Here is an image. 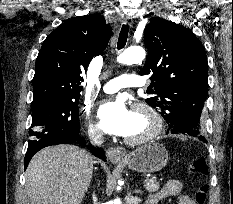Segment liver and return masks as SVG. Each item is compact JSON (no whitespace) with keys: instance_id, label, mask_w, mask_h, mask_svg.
Listing matches in <instances>:
<instances>
[{"instance_id":"obj_1","label":"liver","mask_w":233,"mask_h":204,"mask_svg":"<svg viewBox=\"0 0 233 204\" xmlns=\"http://www.w3.org/2000/svg\"><path fill=\"white\" fill-rule=\"evenodd\" d=\"M93 173V158L75 145L39 151L25 173L31 204H80Z\"/></svg>"}]
</instances>
